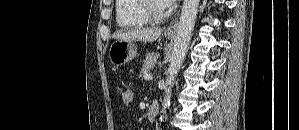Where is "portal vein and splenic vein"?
<instances>
[{"instance_id": "portal-vein-and-splenic-vein-1", "label": "portal vein and splenic vein", "mask_w": 299, "mask_h": 130, "mask_svg": "<svg viewBox=\"0 0 299 130\" xmlns=\"http://www.w3.org/2000/svg\"><path fill=\"white\" fill-rule=\"evenodd\" d=\"M152 78V75L151 74H144V79L145 80H150Z\"/></svg>"}]
</instances>
